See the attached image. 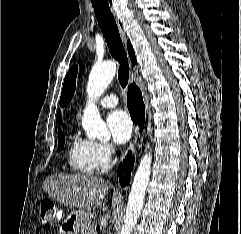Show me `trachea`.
I'll use <instances>...</instances> for the list:
<instances>
[{
  "instance_id": "1",
  "label": "trachea",
  "mask_w": 241,
  "mask_h": 234,
  "mask_svg": "<svg viewBox=\"0 0 241 234\" xmlns=\"http://www.w3.org/2000/svg\"><path fill=\"white\" fill-rule=\"evenodd\" d=\"M98 24L107 42L109 51L119 63L118 80L123 88L128 84V58L123 47L116 21L107 0H91Z\"/></svg>"
}]
</instances>
